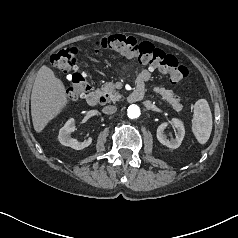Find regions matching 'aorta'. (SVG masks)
Segmentation results:
<instances>
[{"mask_svg":"<svg viewBox=\"0 0 238 238\" xmlns=\"http://www.w3.org/2000/svg\"><path fill=\"white\" fill-rule=\"evenodd\" d=\"M141 114L139 106L132 104L127 109V115L131 119L138 118Z\"/></svg>","mask_w":238,"mask_h":238,"instance_id":"1","label":"aorta"}]
</instances>
